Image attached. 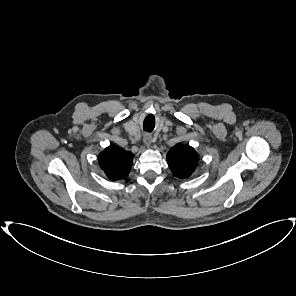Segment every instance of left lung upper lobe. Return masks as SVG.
<instances>
[{"label": "left lung upper lobe", "instance_id": "5c2ea615", "mask_svg": "<svg viewBox=\"0 0 296 296\" xmlns=\"http://www.w3.org/2000/svg\"><path fill=\"white\" fill-rule=\"evenodd\" d=\"M169 168L179 178H187L195 170L199 156L189 145L176 144L167 154Z\"/></svg>", "mask_w": 296, "mask_h": 296}]
</instances>
